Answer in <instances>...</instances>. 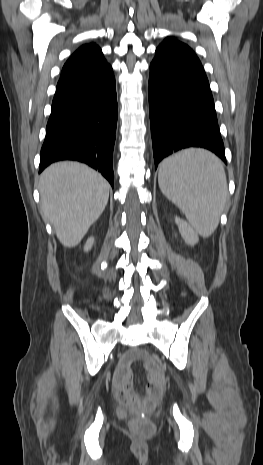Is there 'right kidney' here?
I'll use <instances>...</instances> for the list:
<instances>
[{
  "instance_id": "1",
  "label": "right kidney",
  "mask_w": 263,
  "mask_h": 465,
  "mask_svg": "<svg viewBox=\"0 0 263 465\" xmlns=\"http://www.w3.org/2000/svg\"><path fill=\"white\" fill-rule=\"evenodd\" d=\"M93 243H94V238L93 237L88 238V240L86 241V244L84 246V251H86V252L89 251L91 249Z\"/></svg>"
}]
</instances>
